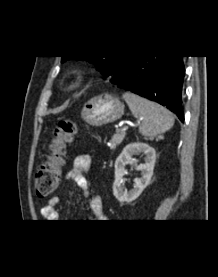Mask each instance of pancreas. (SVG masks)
Here are the masks:
<instances>
[{"mask_svg": "<svg viewBox=\"0 0 218 277\" xmlns=\"http://www.w3.org/2000/svg\"><path fill=\"white\" fill-rule=\"evenodd\" d=\"M125 133L122 132V133H117L115 134L111 141L107 144L111 149H114L116 148L118 145H120L122 143V141L124 140V137H125Z\"/></svg>", "mask_w": 218, "mask_h": 277, "instance_id": "obj_1", "label": "pancreas"}]
</instances>
